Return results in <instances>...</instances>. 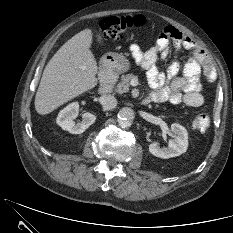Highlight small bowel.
<instances>
[{
  "label": "small bowel",
  "instance_id": "obj_1",
  "mask_svg": "<svg viewBox=\"0 0 233 233\" xmlns=\"http://www.w3.org/2000/svg\"><path fill=\"white\" fill-rule=\"evenodd\" d=\"M175 48L191 51L192 56L185 63L183 73L177 76L180 64L173 61L166 71H160L156 66L159 56L169 55V43ZM130 51L140 67L146 70L147 79L152 92L148 100L151 102H169L185 104L190 107H200L204 103L200 75L212 82L216 72L206 52L197 43L172 26L165 27L155 44L144 49L137 44L130 46Z\"/></svg>",
  "mask_w": 233,
  "mask_h": 233
}]
</instances>
